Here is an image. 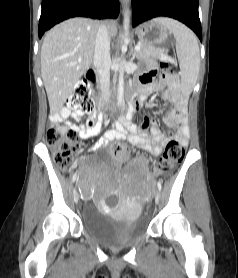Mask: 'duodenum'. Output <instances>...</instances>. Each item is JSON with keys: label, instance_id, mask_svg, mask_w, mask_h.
Wrapping results in <instances>:
<instances>
[{"label": "duodenum", "instance_id": "410a0bca", "mask_svg": "<svg viewBox=\"0 0 238 278\" xmlns=\"http://www.w3.org/2000/svg\"><path fill=\"white\" fill-rule=\"evenodd\" d=\"M87 78L89 79L90 82H92L93 84H95L97 90H98V86H97V81H96V73L94 70H90L87 74ZM100 104L103 105L105 103V100L103 99V97H100ZM138 107V98H137V94L134 91H130L127 93L126 96V105H125V109L126 112L128 113H133Z\"/></svg>", "mask_w": 238, "mask_h": 278}]
</instances>
